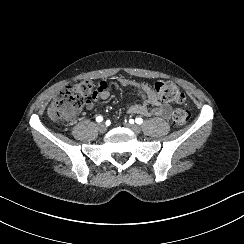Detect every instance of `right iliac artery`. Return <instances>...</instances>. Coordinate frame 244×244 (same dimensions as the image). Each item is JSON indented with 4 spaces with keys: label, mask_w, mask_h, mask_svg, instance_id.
<instances>
[{
    "label": "right iliac artery",
    "mask_w": 244,
    "mask_h": 244,
    "mask_svg": "<svg viewBox=\"0 0 244 244\" xmlns=\"http://www.w3.org/2000/svg\"><path fill=\"white\" fill-rule=\"evenodd\" d=\"M96 121H97V122H101V121H103V117H102V116H98V117H96Z\"/></svg>",
    "instance_id": "1"
}]
</instances>
